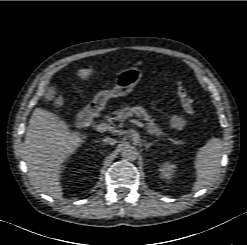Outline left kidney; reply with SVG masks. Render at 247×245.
<instances>
[{"mask_svg":"<svg viewBox=\"0 0 247 245\" xmlns=\"http://www.w3.org/2000/svg\"><path fill=\"white\" fill-rule=\"evenodd\" d=\"M176 166L166 162L160 167V175L163 179H171L175 173Z\"/></svg>","mask_w":247,"mask_h":245,"instance_id":"obj_1","label":"left kidney"}]
</instances>
